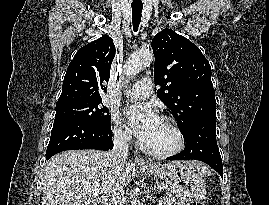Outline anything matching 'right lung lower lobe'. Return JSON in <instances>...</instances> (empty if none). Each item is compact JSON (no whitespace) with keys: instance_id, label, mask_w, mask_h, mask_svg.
I'll list each match as a JSON object with an SVG mask.
<instances>
[{"instance_id":"1","label":"right lung lower lobe","mask_w":269,"mask_h":205,"mask_svg":"<svg viewBox=\"0 0 269 205\" xmlns=\"http://www.w3.org/2000/svg\"><path fill=\"white\" fill-rule=\"evenodd\" d=\"M113 148L111 127L83 121L54 123L46 159L65 150L96 149L108 151Z\"/></svg>"}]
</instances>
